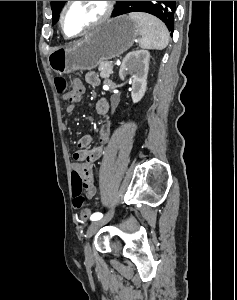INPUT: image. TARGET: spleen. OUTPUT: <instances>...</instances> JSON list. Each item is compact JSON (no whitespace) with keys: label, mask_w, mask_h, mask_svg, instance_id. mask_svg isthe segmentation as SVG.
<instances>
[{"label":"spleen","mask_w":237,"mask_h":300,"mask_svg":"<svg viewBox=\"0 0 237 300\" xmlns=\"http://www.w3.org/2000/svg\"><path fill=\"white\" fill-rule=\"evenodd\" d=\"M129 19L138 25L141 39L139 47L141 49H157L162 51L168 45L169 33L162 21L148 15V13H129Z\"/></svg>","instance_id":"3e777b00"}]
</instances>
